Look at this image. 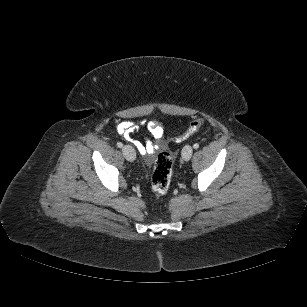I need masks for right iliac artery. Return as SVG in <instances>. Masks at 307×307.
<instances>
[{"label": "right iliac artery", "mask_w": 307, "mask_h": 307, "mask_svg": "<svg viewBox=\"0 0 307 307\" xmlns=\"http://www.w3.org/2000/svg\"><path fill=\"white\" fill-rule=\"evenodd\" d=\"M117 147L122 148V147H123V144H122L121 142H118V143H117Z\"/></svg>", "instance_id": "82829eb1"}]
</instances>
